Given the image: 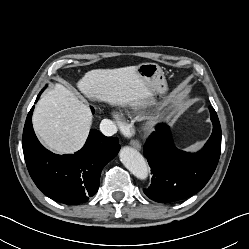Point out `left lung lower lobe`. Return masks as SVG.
<instances>
[{"label":"left lung lower lobe","mask_w":249,"mask_h":249,"mask_svg":"<svg viewBox=\"0 0 249 249\" xmlns=\"http://www.w3.org/2000/svg\"><path fill=\"white\" fill-rule=\"evenodd\" d=\"M213 132L198 153L177 149L169 127L162 124L144 146L153 174L144 193L152 200L167 203L182 200L200 191L211 178L221 153V127L213 107H209Z\"/></svg>","instance_id":"obj_1"}]
</instances>
